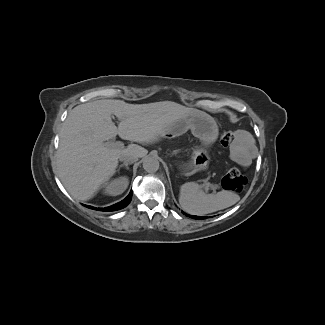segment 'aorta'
<instances>
[{"instance_id":"1","label":"aorta","mask_w":325,"mask_h":325,"mask_svg":"<svg viewBox=\"0 0 325 325\" xmlns=\"http://www.w3.org/2000/svg\"><path fill=\"white\" fill-rule=\"evenodd\" d=\"M143 168L148 173H155L159 169V161L155 156H146L143 159Z\"/></svg>"}]
</instances>
